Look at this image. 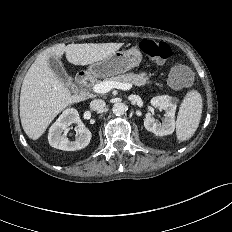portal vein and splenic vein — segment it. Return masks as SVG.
Here are the masks:
<instances>
[{"mask_svg":"<svg viewBox=\"0 0 232 232\" xmlns=\"http://www.w3.org/2000/svg\"><path fill=\"white\" fill-rule=\"evenodd\" d=\"M113 88L121 90H129L132 88L131 83H121L117 81H103L93 86V91L95 93L104 94L112 90Z\"/></svg>","mask_w":232,"mask_h":232,"instance_id":"18ae733b","label":"portal vein and splenic vein"}]
</instances>
